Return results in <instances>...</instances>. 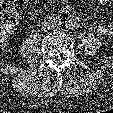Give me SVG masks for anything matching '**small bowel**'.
I'll return each instance as SVG.
<instances>
[{"label": "small bowel", "mask_w": 113, "mask_h": 113, "mask_svg": "<svg viewBox=\"0 0 113 113\" xmlns=\"http://www.w3.org/2000/svg\"><path fill=\"white\" fill-rule=\"evenodd\" d=\"M98 1L101 4H105L106 2H108L110 0H98ZM13 14L16 15L15 12ZM91 22L98 26V32L101 35L110 36V37L113 36V21L108 24H104L102 12H97L96 14H94L91 17Z\"/></svg>", "instance_id": "1"}]
</instances>
